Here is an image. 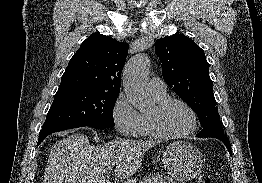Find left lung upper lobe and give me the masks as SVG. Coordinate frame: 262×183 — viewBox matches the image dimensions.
<instances>
[{"label": "left lung upper lobe", "mask_w": 262, "mask_h": 183, "mask_svg": "<svg viewBox=\"0 0 262 183\" xmlns=\"http://www.w3.org/2000/svg\"><path fill=\"white\" fill-rule=\"evenodd\" d=\"M155 51L167 85L197 114L203 130L197 137L225 138L204 51L189 37L158 39Z\"/></svg>", "instance_id": "left-lung-upper-lobe-1"}]
</instances>
